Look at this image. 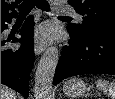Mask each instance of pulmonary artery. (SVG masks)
<instances>
[{"instance_id":"pulmonary-artery-1","label":"pulmonary artery","mask_w":115,"mask_h":99,"mask_svg":"<svg viewBox=\"0 0 115 99\" xmlns=\"http://www.w3.org/2000/svg\"><path fill=\"white\" fill-rule=\"evenodd\" d=\"M56 10H57V12L64 13V14L73 13V11L68 6H66L65 4H63L60 1L56 2ZM76 17L79 18V19L81 18L80 15H76Z\"/></svg>"}]
</instances>
